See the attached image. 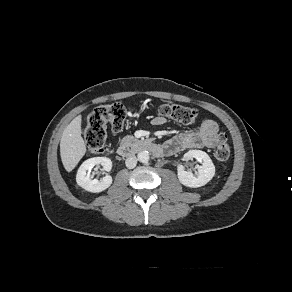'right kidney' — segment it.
<instances>
[{"label":"right kidney","mask_w":292,"mask_h":292,"mask_svg":"<svg viewBox=\"0 0 292 292\" xmlns=\"http://www.w3.org/2000/svg\"><path fill=\"white\" fill-rule=\"evenodd\" d=\"M99 164L103 166L105 171H110L112 168V162L109 158L94 157L84 161L78 169L76 182L86 191L99 193L106 190L112 184V177L108 174L101 178V180L91 179L90 173L92 168Z\"/></svg>","instance_id":"ca27d5eb"}]
</instances>
